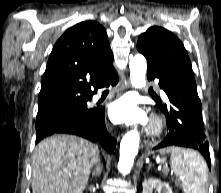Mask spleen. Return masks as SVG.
Returning a JSON list of instances; mask_svg holds the SVG:
<instances>
[{
    "label": "spleen",
    "instance_id": "obj_1",
    "mask_svg": "<svg viewBox=\"0 0 221 193\" xmlns=\"http://www.w3.org/2000/svg\"><path fill=\"white\" fill-rule=\"evenodd\" d=\"M171 153V170L177 177L176 185L184 193H207L208 167L204 158L188 146H173L166 149Z\"/></svg>",
    "mask_w": 221,
    "mask_h": 193
}]
</instances>
